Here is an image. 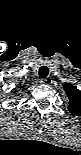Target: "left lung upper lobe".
Listing matches in <instances>:
<instances>
[{
    "instance_id": "left-lung-upper-lobe-1",
    "label": "left lung upper lobe",
    "mask_w": 81,
    "mask_h": 155,
    "mask_svg": "<svg viewBox=\"0 0 81 155\" xmlns=\"http://www.w3.org/2000/svg\"><path fill=\"white\" fill-rule=\"evenodd\" d=\"M64 90L69 98V112L73 116L81 114V91L69 83L64 85Z\"/></svg>"
}]
</instances>
